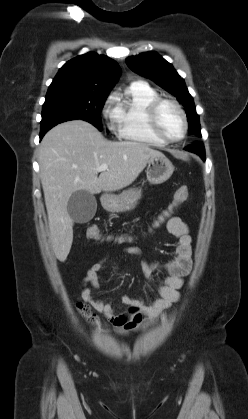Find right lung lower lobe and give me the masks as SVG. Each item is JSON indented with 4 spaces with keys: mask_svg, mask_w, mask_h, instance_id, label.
Here are the masks:
<instances>
[{
    "mask_svg": "<svg viewBox=\"0 0 248 419\" xmlns=\"http://www.w3.org/2000/svg\"><path fill=\"white\" fill-rule=\"evenodd\" d=\"M69 120H74V118H60V119H55L52 120L46 124L41 125V131H40V139H42V137L45 135V133L50 130L52 127H54L55 125L65 122V121H69Z\"/></svg>",
    "mask_w": 248,
    "mask_h": 419,
    "instance_id": "98d812e1",
    "label": "right lung lower lobe"
}]
</instances>
